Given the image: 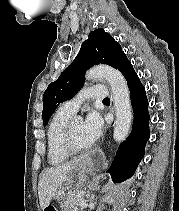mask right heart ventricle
<instances>
[{"label":"right heart ventricle","instance_id":"1","mask_svg":"<svg viewBox=\"0 0 179 211\" xmlns=\"http://www.w3.org/2000/svg\"><path fill=\"white\" fill-rule=\"evenodd\" d=\"M72 117L73 114L60 108L49 121L46 132V154L47 161L51 166H60L71 156L64 148L63 136L65 128Z\"/></svg>","mask_w":179,"mask_h":211}]
</instances>
